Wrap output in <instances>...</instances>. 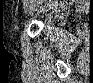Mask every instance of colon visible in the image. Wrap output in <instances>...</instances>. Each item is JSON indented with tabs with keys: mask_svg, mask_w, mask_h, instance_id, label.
Returning a JSON list of instances; mask_svg holds the SVG:
<instances>
[{
	"mask_svg": "<svg viewBox=\"0 0 93 83\" xmlns=\"http://www.w3.org/2000/svg\"><path fill=\"white\" fill-rule=\"evenodd\" d=\"M50 3H55V4H57V5H61V4H68V3H71V2H60V1H50Z\"/></svg>",
	"mask_w": 93,
	"mask_h": 83,
	"instance_id": "obj_1",
	"label": "colon"
}]
</instances>
